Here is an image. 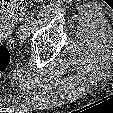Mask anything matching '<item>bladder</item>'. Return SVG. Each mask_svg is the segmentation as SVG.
<instances>
[{
	"label": "bladder",
	"mask_w": 113,
	"mask_h": 113,
	"mask_svg": "<svg viewBox=\"0 0 113 113\" xmlns=\"http://www.w3.org/2000/svg\"><path fill=\"white\" fill-rule=\"evenodd\" d=\"M4 20V18H2ZM11 32V25H8L7 27H3L1 23L0 27V38L1 40L5 39Z\"/></svg>",
	"instance_id": "31cf9c89"
}]
</instances>
